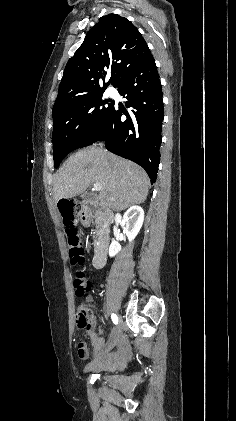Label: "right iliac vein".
<instances>
[{"mask_svg": "<svg viewBox=\"0 0 236 421\" xmlns=\"http://www.w3.org/2000/svg\"><path fill=\"white\" fill-rule=\"evenodd\" d=\"M122 331V324L119 322L116 330L114 331L113 334V340L111 341V343L107 346V348H105V350L103 351V354L109 352L115 345L116 339L119 337L120 333Z\"/></svg>", "mask_w": 236, "mask_h": 421, "instance_id": "1", "label": "right iliac vein"}]
</instances>
